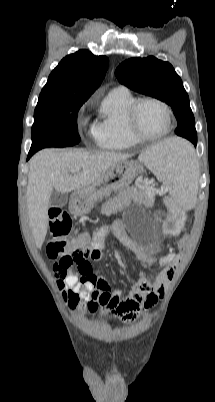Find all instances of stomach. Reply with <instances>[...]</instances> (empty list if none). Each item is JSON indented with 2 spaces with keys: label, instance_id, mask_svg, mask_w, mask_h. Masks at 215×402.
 <instances>
[{
  "label": "stomach",
  "instance_id": "obj_1",
  "mask_svg": "<svg viewBox=\"0 0 215 402\" xmlns=\"http://www.w3.org/2000/svg\"><path fill=\"white\" fill-rule=\"evenodd\" d=\"M143 171L141 163L133 160L119 162L104 173L93 184L77 190L73 194V209L76 214H87L95 202L114 191L127 188Z\"/></svg>",
  "mask_w": 215,
  "mask_h": 402
}]
</instances>
